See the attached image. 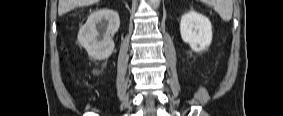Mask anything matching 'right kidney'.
Instances as JSON below:
<instances>
[{"mask_svg":"<svg viewBox=\"0 0 283 116\" xmlns=\"http://www.w3.org/2000/svg\"><path fill=\"white\" fill-rule=\"evenodd\" d=\"M119 26L120 20L116 11L109 9L95 11L80 28L78 41L93 59H107L114 50L113 37Z\"/></svg>","mask_w":283,"mask_h":116,"instance_id":"right-kidney-1","label":"right kidney"}]
</instances>
